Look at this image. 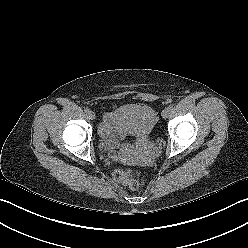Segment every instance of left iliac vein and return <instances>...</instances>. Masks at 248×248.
Segmentation results:
<instances>
[{"label":"left iliac vein","instance_id":"left-iliac-vein-1","mask_svg":"<svg viewBox=\"0 0 248 248\" xmlns=\"http://www.w3.org/2000/svg\"><path fill=\"white\" fill-rule=\"evenodd\" d=\"M170 114V109L169 108H165L163 111H162V117L163 118H167Z\"/></svg>","mask_w":248,"mask_h":248}]
</instances>
